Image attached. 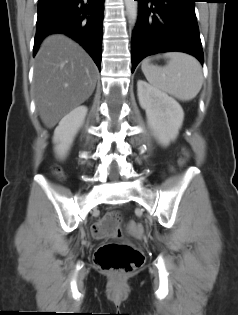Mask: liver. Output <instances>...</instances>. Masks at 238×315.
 I'll use <instances>...</instances> for the list:
<instances>
[{
  "label": "liver",
  "mask_w": 238,
  "mask_h": 315,
  "mask_svg": "<svg viewBox=\"0 0 238 315\" xmlns=\"http://www.w3.org/2000/svg\"><path fill=\"white\" fill-rule=\"evenodd\" d=\"M97 73L86 51L65 35H50L42 42L33 82L37 109L46 127L53 128L92 95Z\"/></svg>",
  "instance_id": "6515ba94"
}]
</instances>
